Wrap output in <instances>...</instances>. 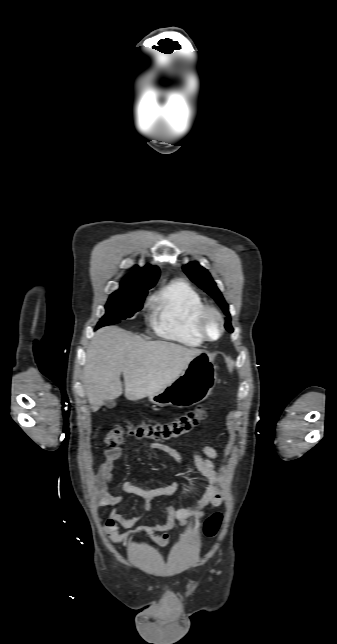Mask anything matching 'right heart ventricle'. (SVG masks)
Returning a JSON list of instances; mask_svg holds the SVG:
<instances>
[{
	"mask_svg": "<svg viewBox=\"0 0 337 644\" xmlns=\"http://www.w3.org/2000/svg\"><path fill=\"white\" fill-rule=\"evenodd\" d=\"M203 306L200 294L192 285L174 279L153 298L152 327L163 338L199 346L205 340L196 328V319Z\"/></svg>",
	"mask_w": 337,
	"mask_h": 644,
	"instance_id": "1",
	"label": "right heart ventricle"
}]
</instances>
